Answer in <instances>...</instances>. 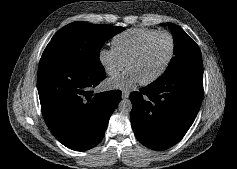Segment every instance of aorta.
Instances as JSON below:
<instances>
[{"label": "aorta", "mask_w": 237, "mask_h": 169, "mask_svg": "<svg viewBox=\"0 0 237 169\" xmlns=\"http://www.w3.org/2000/svg\"><path fill=\"white\" fill-rule=\"evenodd\" d=\"M118 110L119 112L123 114H128L132 110V103L128 99H122L118 104Z\"/></svg>", "instance_id": "1"}]
</instances>
